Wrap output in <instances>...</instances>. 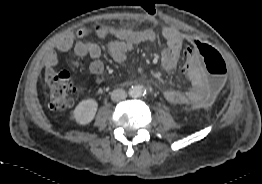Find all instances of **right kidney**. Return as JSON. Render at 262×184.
Returning <instances> with one entry per match:
<instances>
[{"mask_svg": "<svg viewBox=\"0 0 262 184\" xmlns=\"http://www.w3.org/2000/svg\"><path fill=\"white\" fill-rule=\"evenodd\" d=\"M98 103L94 99L81 101L74 110V117L81 125L90 123L95 117Z\"/></svg>", "mask_w": 262, "mask_h": 184, "instance_id": "1", "label": "right kidney"}]
</instances>
